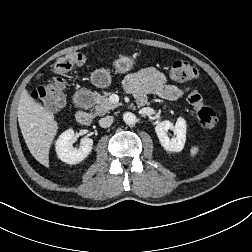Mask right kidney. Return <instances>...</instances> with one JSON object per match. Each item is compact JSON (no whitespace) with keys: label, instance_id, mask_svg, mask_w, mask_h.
I'll use <instances>...</instances> for the list:
<instances>
[{"label":"right kidney","instance_id":"obj_1","mask_svg":"<svg viewBox=\"0 0 252 252\" xmlns=\"http://www.w3.org/2000/svg\"><path fill=\"white\" fill-rule=\"evenodd\" d=\"M75 135L72 129L63 132L56 141V153L58 158L67 164H78L83 161L91 152L93 140L84 137L81 139L79 149L73 147Z\"/></svg>","mask_w":252,"mask_h":252}]
</instances>
